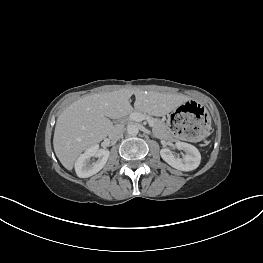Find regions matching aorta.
<instances>
[{
  "mask_svg": "<svg viewBox=\"0 0 263 263\" xmlns=\"http://www.w3.org/2000/svg\"><path fill=\"white\" fill-rule=\"evenodd\" d=\"M127 134L130 136H136L139 133V127L136 124L127 125Z\"/></svg>",
  "mask_w": 263,
  "mask_h": 263,
  "instance_id": "762f6f07",
  "label": "aorta"
}]
</instances>
